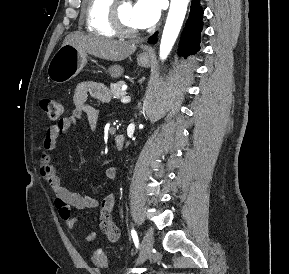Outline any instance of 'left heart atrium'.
Here are the masks:
<instances>
[{
    "label": "left heart atrium",
    "instance_id": "1",
    "mask_svg": "<svg viewBox=\"0 0 289 274\" xmlns=\"http://www.w3.org/2000/svg\"><path fill=\"white\" fill-rule=\"evenodd\" d=\"M160 12V0H137L132 7V20L138 28H148L158 21Z\"/></svg>",
    "mask_w": 289,
    "mask_h": 274
}]
</instances>
